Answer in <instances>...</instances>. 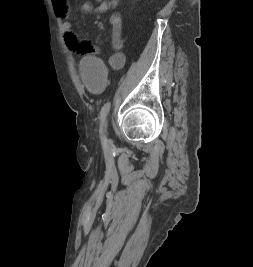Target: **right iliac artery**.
Wrapping results in <instances>:
<instances>
[{
    "label": "right iliac artery",
    "mask_w": 253,
    "mask_h": 267,
    "mask_svg": "<svg viewBox=\"0 0 253 267\" xmlns=\"http://www.w3.org/2000/svg\"><path fill=\"white\" fill-rule=\"evenodd\" d=\"M109 109H110V102H107L103 107H102V109H101V112H100V120H101V125H102V123L104 122V120H105V118H106V116H107V114H108V112H109ZM100 138H101V140L102 141H105L106 140V138H105V136H104V134H103V130H102V128L100 127Z\"/></svg>",
    "instance_id": "obj_1"
}]
</instances>
